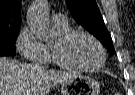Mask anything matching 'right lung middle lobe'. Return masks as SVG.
<instances>
[{"label":"right lung middle lobe","mask_w":135,"mask_h":95,"mask_svg":"<svg viewBox=\"0 0 135 95\" xmlns=\"http://www.w3.org/2000/svg\"><path fill=\"white\" fill-rule=\"evenodd\" d=\"M19 30L0 33V56H13L16 54L15 42Z\"/></svg>","instance_id":"1"}]
</instances>
